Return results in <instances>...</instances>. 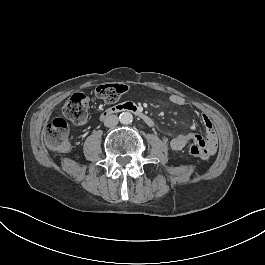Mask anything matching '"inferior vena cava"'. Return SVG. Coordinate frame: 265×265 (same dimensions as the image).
Segmentation results:
<instances>
[{"label":"inferior vena cava","mask_w":265,"mask_h":265,"mask_svg":"<svg viewBox=\"0 0 265 265\" xmlns=\"http://www.w3.org/2000/svg\"><path fill=\"white\" fill-rule=\"evenodd\" d=\"M119 123V119L116 115H108L104 120L106 127H114Z\"/></svg>","instance_id":"1"}]
</instances>
